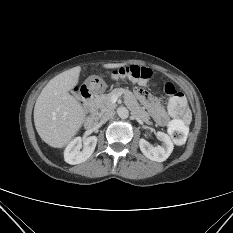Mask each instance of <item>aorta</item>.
Wrapping results in <instances>:
<instances>
[{
    "instance_id": "1",
    "label": "aorta",
    "mask_w": 233,
    "mask_h": 233,
    "mask_svg": "<svg viewBox=\"0 0 233 233\" xmlns=\"http://www.w3.org/2000/svg\"><path fill=\"white\" fill-rule=\"evenodd\" d=\"M118 116L122 119H126L129 116V111L126 107H119L117 109Z\"/></svg>"
}]
</instances>
